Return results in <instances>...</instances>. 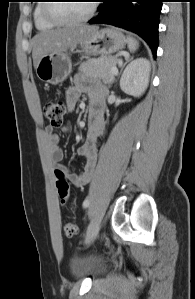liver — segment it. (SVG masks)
<instances>
[{"label":"liver","instance_id":"6515ba94","mask_svg":"<svg viewBox=\"0 0 195 299\" xmlns=\"http://www.w3.org/2000/svg\"><path fill=\"white\" fill-rule=\"evenodd\" d=\"M97 29L96 26L79 25L38 33L32 40L34 68H37L39 61L45 55L73 49L89 38Z\"/></svg>","mask_w":195,"mask_h":299}]
</instances>
